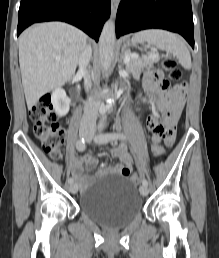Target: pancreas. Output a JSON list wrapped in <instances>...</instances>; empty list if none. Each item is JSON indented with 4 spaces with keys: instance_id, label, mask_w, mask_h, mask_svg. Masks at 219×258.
Wrapping results in <instances>:
<instances>
[{
    "instance_id": "obj_1",
    "label": "pancreas",
    "mask_w": 219,
    "mask_h": 258,
    "mask_svg": "<svg viewBox=\"0 0 219 258\" xmlns=\"http://www.w3.org/2000/svg\"><path fill=\"white\" fill-rule=\"evenodd\" d=\"M159 61V57L154 59H139L131 57L129 62L126 64V71L132 74L134 77H139L140 73L144 69H150L154 63Z\"/></svg>"
}]
</instances>
